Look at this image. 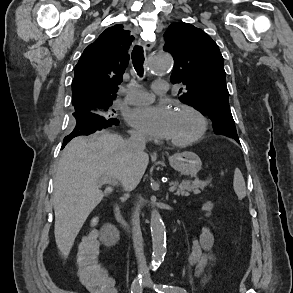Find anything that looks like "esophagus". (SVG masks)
Here are the masks:
<instances>
[{
  "label": "esophagus",
  "instance_id": "1",
  "mask_svg": "<svg viewBox=\"0 0 293 293\" xmlns=\"http://www.w3.org/2000/svg\"><path fill=\"white\" fill-rule=\"evenodd\" d=\"M139 44L144 47L146 50H151L154 46V42L151 41H139Z\"/></svg>",
  "mask_w": 293,
  "mask_h": 293
}]
</instances>
